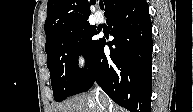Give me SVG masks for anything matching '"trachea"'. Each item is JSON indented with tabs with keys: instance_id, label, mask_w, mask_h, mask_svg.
Returning a JSON list of instances; mask_svg holds the SVG:
<instances>
[{
	"instance_id": "trachea-1",
	"label": "trachea",
	"mask_w": 193,
	"mask_h": 112,
	"mask_svg": "<svg viewBox=\"0 0 193 112\" xmlns=\"http://www.w3.org/2000/svg\"><path fill=\"white\" fill-rule=\"evenodd\" d=\"M100 8L103 10L104 9V5H100Z\"/></svg>"
}]
</instances>
